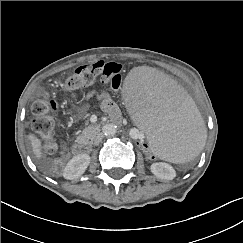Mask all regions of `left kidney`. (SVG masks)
I'll return each mask as SVG.
<instances>
[{
	"label": "left kidney",
	"instance_id": "5707ae66",
	"mask_svg": "<svg viewBox=\"0 0 243 243\" xmlns=\"http://www.w3.org/2000/svg\"><path fill=\"white\" fill-rule=\"evenodd\" d=\"M151 172L161 179L172 180L176 177L175 169L168 163L161 162L160 164L150 166Z\"/></svg>",
	"mask_w": 243,
	"mask_h": 243
}]
</instances>
